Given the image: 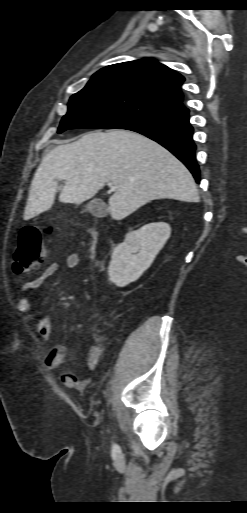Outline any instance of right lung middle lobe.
<instances>
[{
	"label": "right lung middle lobe",
	"instance_id": "right-lung-middle-lobe-1",
	"mask_svg": "<svg viewBox=\"0 0 247 513\" xmlns=\"http://www.w3.org/2000/svg\"><path fill=\"white\" fill-rule=\"evenodd\" d=\"M170 109L141 94L117 88H94L74 94L58 133L67 129H114Z\"/></svg>",
	"mask_w": 247,
	"mask_h": 513
}]
</instances>
